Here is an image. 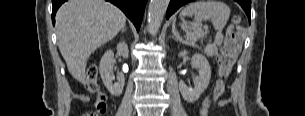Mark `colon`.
<instances>
[{"instance_id": "obj_1", "label": "colon", "mask_w": 305, "mask_h": 116, "mask_svg": "<svg viewBox=\"0 0 305 116\" xmlns=\"http://www.w3.org/2000/svg\"><path fill=\"white\" fill-rule=\"evenodd\" d=\"M240 51V39L233 28L226 34L222 49L218 55L217 62L219 68V79L213 89V98L217 100L225 91V79L230 75ZM87 89L96 95L93 111L85 113L83 116H98L107 110L106 96L101 92L98 83V68L91 65L86 75Z\"/></svg>"}]
</instances>
